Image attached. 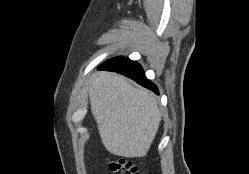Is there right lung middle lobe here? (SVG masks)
Here are the masks:
<instances>
[{
	"label": "right lung middle lobe",
	"instance_id": "right-lung-middle-lobe-1",
	"mask_svg": "<svg viewBox=\"0 0 249 174\" xmlns=\"http://www.w3.org/2000/svg\"><path fill=\"white\" fill-rule=\"evenodd\" d=\"M123 57H116L113 59L108 60L107 62H114V61H119L120 59H122Z\"/></svg>",
	"mask_w": 249,
	"mask_h": 174
}]
</instances>
